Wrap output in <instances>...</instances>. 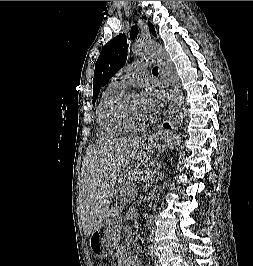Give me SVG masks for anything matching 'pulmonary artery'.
Returning <instances> with one entry per match:
<instances>
[{
    "label": "pulmonary artery",
    "mask_w": 253,
    "mask_h": 266,
    "mask_svg": "<svg viewBox=\"0 0 253 266\" xmlns=\"http://www.w3.org/2000/svg\"><path fill=\"white\" fill-rule=\"evenodd\" d=\"M149 63L139 60L129 64L116 76V81L125 87L134 85L143 75L148 72Z\"/></svg>",
    "instance_id": "obj_1"
}]
</instances>
